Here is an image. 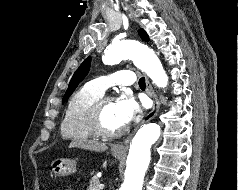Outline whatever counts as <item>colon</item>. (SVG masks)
I'll return each mask as SVG.
<instances>
[{
  "instance_id": "1",
  "label": "colon",
  "mask_w": 238,
  "mask_h": 190,
  "mask_svg": "<svg viewBox=\"0 0 238 190\" xmlns=\"http://www.w3.org/2000/svg\"><path fill=\"white\" fill-rule=\"evenodd\" d=\"M65 190H72V189H70V188H67V189H65Z\"/></svg>"
}]
</instances>
